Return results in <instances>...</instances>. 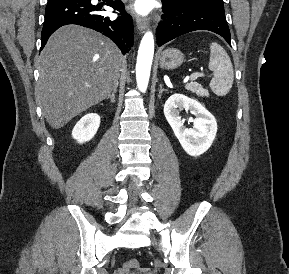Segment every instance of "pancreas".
<instances>
[{
  "label": "pancreas",
  "instance_id": "1",
  "mask_svg": "<svg viewBox=\"0 0 289 274\" xmlns=\"http://www.w3.org/2000/svg\"><path fill=\"white\" fill-rule=\"evenodd\" d=\"M185 87L187 90L192 91L198 96H201V97L209 96L208 91L204 89L199 83L192 82V83L187 84Z\"/></svg>",
  "mask_w": 289,
  "mask_h": 274
}]
</instances>
